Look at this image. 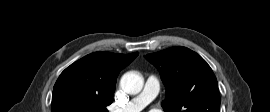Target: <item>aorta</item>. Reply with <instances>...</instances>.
I'll return each mask as SVG.
<instances>
[{"instance_id":"aorta-1","label":"aorta","mask_w":270,"mask_h":112,"mask_svg":"<svg viewBox=\"0 0 270 112\" xmlns=\"http://www.w3.org/2000/svg\"><path fill=\"white\" fill-rule=\"evenodd\" d=\"M120 86L128 94H138L143 88V79L136 72H127L122 76Z\"/></svg>"}]
</instances>
